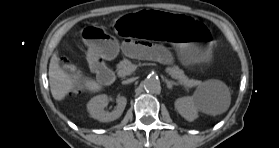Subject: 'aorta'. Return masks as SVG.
<instances>
[{
	"label": "aorta",
	"instance_id": "obj_1",
	"mask_svg": "<svg viewBox=\"0 0 279 148\" xmlns=\"http://www.w3.org/2000/svg\"><path fill=\"white\" fill-rule=\"evenodd\" d=\"M144 88L150 93H159L161 91L160 80L156 76L147 77L144 82Z\"/></svg>",
	"mask_w": 279,
	"mask_h": 148
}]
</instances>
